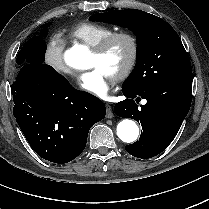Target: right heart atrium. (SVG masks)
I'll return each instance as SVG.
<instances>
[{"label": "right heart atrium", "mask_w": 209, "mask_h": 209, "mask_svg": "<svg viewBox=\"0 0 209 209\" xmlns=\"http://www.w3.org/2000/svg\"><path fill=\"white\" fill-rule=\"evenodd\" d=\"M65 41L57 34L49 37L44 46V60L46 64L55 72L61 75H73L74 71L67 66L63 53Z\"/></svg>", "instance_id": "obj_1"}]
</instances>
